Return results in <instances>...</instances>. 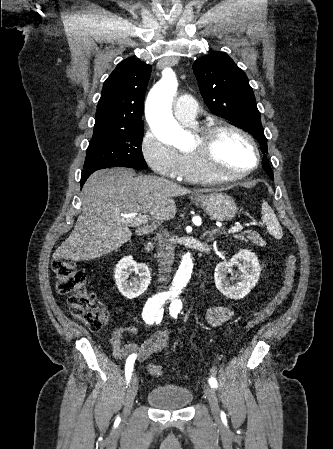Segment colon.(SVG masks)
Here are the masks:
<instances>
[{
    "mask_svg": "<svg viewBox=\"0 0 333 449\" xmlns=\"http://www.w3.org/2000/svg\"><path fill=\"white\" fill-rule=\"evenodd\" d=\"M52 271L57 278L56 288L59 293L68 295V304L72 314L81 320L91 331L103 329L109 319L107 308L99 304L93 293L85 286V275L79 271L75 263L56 258L52 261ZM297 259L293 254H287L283 260V282L278 292L265 302L263 306L250 313L243 321V328L250 331L265 322L291 293L296 276ZM149 373L153 376L163 374V368L158 364L149 366Z\"/></svg>",
    "mask_w": 333,
    "mask_h": 449,
    "instance_id": "obj_1",
    "label": "colon"
}]
</instances>
